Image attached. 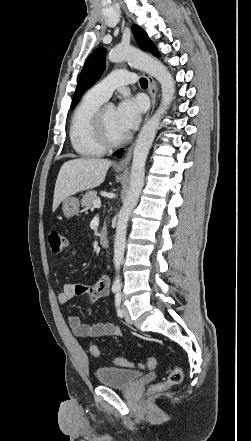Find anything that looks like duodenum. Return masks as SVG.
I'll return each instance as SVG.
<instances>
[{"label": "duodenum", "instance_id": "410a0bca", "mask_svg": "<svg viewBox=\"0 0 251 441\" xmlns=\"http://www.w3.org/2000/svg\"><path fill=\"white\" fill-rule=\"evenodd\" d=\"M99 243H100V246L102 248H108L109 247V239H108V237H106L104 235L101 236L100 239H99Z\"/></svg>", "mask_w": 251, "mask_h": 441}]
</instances>
